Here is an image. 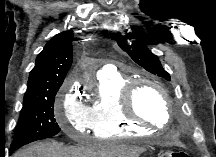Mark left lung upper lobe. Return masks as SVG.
<instances>
[{
  "instance_id": "5c2ea615",
  "label": "left lung upper lobe",
  "mask_w": 216,
  "mask_h": 157,
  "mask_svg": "<svg viewBox=\"0 0 216 157\" xmlns=\"http://www.w3.org/2000/svg\"><path fill=\"white\" fill-rule=\"evenodd\" d=\"M117 44L122 50L126 51L137 64L144 67L147 71L170 81L169 73L164 70L158 57L152 54L146 47L144 41L138 40L136 42H131L130 38H128L118 41Z\"/></svg>"
}]
</instances>
